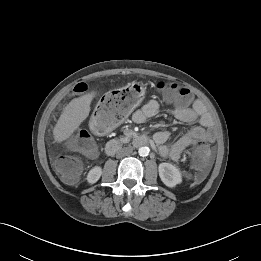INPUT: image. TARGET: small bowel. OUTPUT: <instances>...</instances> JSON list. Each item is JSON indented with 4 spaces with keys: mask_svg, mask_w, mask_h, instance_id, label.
<instances>
[{
    "mask_svg": "<svg viewBox=\"0 0 261 261\" xmlns=\"http://www.w3.org/2000/svg\"><path fill=\"white\" fill-rule=\"evenodd\" d=\"M158 111L159 103L156 100H150L133 114L132 119L135 123H144L147 119L156 116ZM173 114L178 120L185 123H195L200 120L201 125L190 127L171 144H167L170 136L168 131L157 132L154 135V141L159 146L161 156L176 161L189 146L200 141H214L215 131L212 121L204 114V105L202 102L197 100L191 107L176 108L173 110Z\"/></svg>",
    "mask_w": 261,
    "mask_h": 261,
    "instance_id": "small-bowel-1",
    "label": "small bowel"
}]
</instances>
